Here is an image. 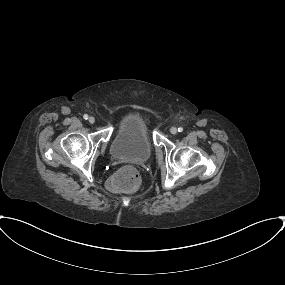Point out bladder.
I'll return each mask as SVG.
<instances>
[{
  "mask_svg": "<svg viewBox=\"0 0 285 285\" xmlns=\"http://www.w3.org/2000/svg\"><path fill=\"white\" fill-rule=\"evenodd\" d=\"M152 152L150 122L142 111H133L118 125L110 145V154L115 159L143 162L151 157Z\"/></svg>",
  "mask_w": 285,
  "mask_h": 285,
  "instance_id": "31cf9c89",
  "label": "bladder"
}]
</instances>
